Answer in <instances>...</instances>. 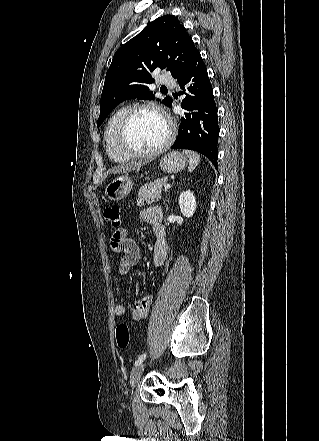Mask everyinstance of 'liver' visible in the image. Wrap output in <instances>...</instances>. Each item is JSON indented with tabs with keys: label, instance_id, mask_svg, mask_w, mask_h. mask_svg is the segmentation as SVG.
<instances>
[{
	"label": "liver",
	"instance_id": "6515ba94",
	"mask_svg": "<svg viewBox=\"0 0 319 441\" xmlns=\"http://www.w3.org/2000/svg\"><path fill=\"white\" fill-rule=\"evenodd\" d=\"M147 163V161L144 162H131V163H123L117 167H113L110 172L114 173V174H120V173H128V172H132L140 167H142L143 165H145Z\"/></svg>",
	"mask_w": 319,
	"mask_h": 441
}]
</instances>
